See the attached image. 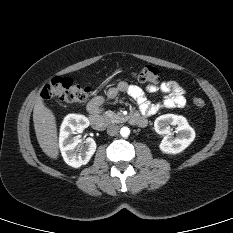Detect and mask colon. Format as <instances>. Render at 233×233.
I'll use <instances>...</instances> for the list:
<instances>
[{
  "label": "colon",
  "instance_id": "colon-1",
  "mask_svg": "<svg viewBox=\"0 0 233 233\" xmlns=\"http://www.w3.org/2000/svg\"><path fill=\"white\" fill-rule=\"evenodd\" d=\"M133 76L141 83L156 84L160 80L157 68L150 65H144L138 68ZM92 94V88L89 86L75 83L69 78H52L42 89V98L45 101L59 100L64 102H83ZM193 104L202 108L205 101L201 98H195Z\"/></svg>",
  "mask_w": 233,
  "mask_h": 233
}]
</instances>
